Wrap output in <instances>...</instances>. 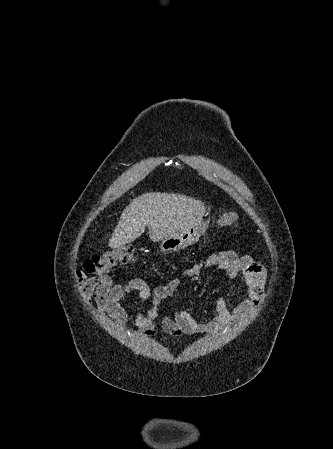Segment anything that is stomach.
Masks as SVG:
<instances>
[{"label": "stomach", "mask_w": 333, "mask_h": 449, "mask_svg": "<svg viewBox=\"0 0 333 449\" xmlns=\"http://www.w3.org/2000/svg\"><path fill=\"white\" fill-rule=\"evenodd\" d=\"M208 223L209 220L205 221L202 217L178 235L165 238L161 241V251L163 253L174 252L194 244L199 240L201 235L205 233Z\"/></svg>", "instance_id": "obj_1"}]
</instances>
